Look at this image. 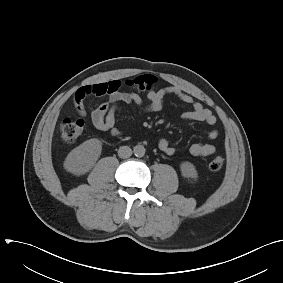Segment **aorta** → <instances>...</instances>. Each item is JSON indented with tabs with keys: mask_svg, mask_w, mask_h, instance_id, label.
<instances>
[{
	"mask_svg": "<svg viewBox=\"0 0 283 283\" xmlns=\"http://www.w3.org/2000/svg\"><path fill=\"white\" fill-rule=\"evenodd\" d=\"M145 148L143 145H136L133 149L134 155L136 157H143L145 155Z\"/></svg>",
	"mask_w": 283,
	"mask_h": 283,
	"instance_id": "aorta-1",
	"label": "aorta"
}]
</instances>
